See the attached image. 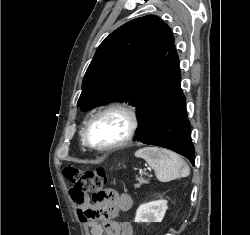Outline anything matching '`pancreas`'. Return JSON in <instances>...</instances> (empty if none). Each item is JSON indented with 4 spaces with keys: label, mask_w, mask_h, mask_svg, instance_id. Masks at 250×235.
Segmentation results:
<instances>
[{
    "label": "pancreas",
    "mask_w": 250,
    "mask_h": 235,
    "mask_svg": "<svg viewBox=\"0 0 250 235\" xmlns=\"http://www.w3.org/2000/svg\"><path fill=\"white\" fill-rule=\"evenodd\" d=\"M137 180H138V184H135V188H140V186L143 184V183H148V181L147 180H145L144 178H142V177H139V178H137Z\"/></svg>",
    "instance_id": "pancreas-1"
}]
</instances>
